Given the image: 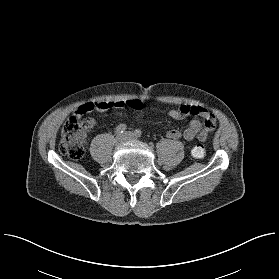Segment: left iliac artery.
<instances>
[{
    "mask_svg": "<svg viewBox=\"0 0 279 279\" xmlns=\"http://www.w3.org/2000/svg\"><path fill=\"white\" fill-rule=\"evenodd\" d=\"M135 136L136 137H141L142 136V131L141 130H135Z\"/></svg>",
    "mask_w": 279,
    "mask_h": 279,
    "instance_id": "1",
    "label": "left iliac artery"
}]
</instances>
